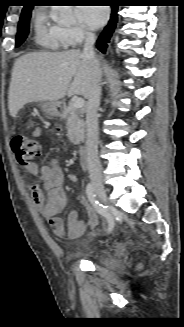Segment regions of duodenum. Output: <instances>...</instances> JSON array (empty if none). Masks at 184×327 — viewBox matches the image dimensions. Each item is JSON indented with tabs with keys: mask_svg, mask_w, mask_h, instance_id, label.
Returning a JSON list of instances; mask_svg holds the SVG:
<instances>
[{
	"mask_svg": "<svg viewBox=\"0 0 184 327\" xmlns=\"http://www.w3.org/2000/svg\"><path fill=\"white\" fill-rule=\"evenodd\" d=\"M56 112L58 113V115L60 116H64L67 112L66 107L62 104H57L56 105ZM79 154L81 157V164L83 166H87L88 165V151L87 148L83 145H81L79 147Z\"/></svg>",
	"mask_w": 184,
	"mask_h": 327,
	"instance_id": "obj_1",
	"label": "duodenum"
}]
</instances>
